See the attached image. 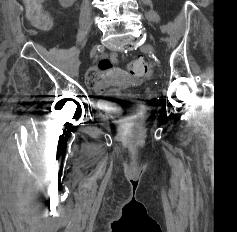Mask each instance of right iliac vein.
<instances>
[{
    "label": "right iliac vein",
    "instance_id": "obj_1",
    "mask_svg": "<svg viewBox=\"0 0 237 232\" xmlns=\"http://www.w3.org/2000/svg\"><path fill=\"white\" fill-rule=\"evenodd\" d=\"M96 48H97V45H95V46L91 49V51H90V56H93V55L95 54Z\"/></svg>",
    "mask_w": 237,
    "mask_h": 232
}]
</instances>
